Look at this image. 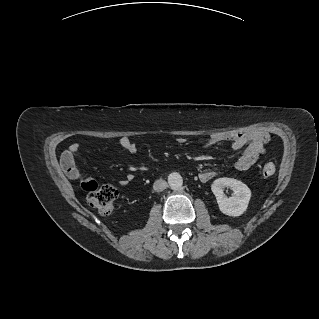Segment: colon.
I'll return each instance as SVG.
<instances>
[{"instance_id":"5ec220e1","label":"colon","mask_w":319,"mask_h":319,"mask_svg":"<svg viewBox=\"0 0 319 319\" xmlns=\"http://www.w3.org/2000/svg\"><path fill=\"white\" fill-rule=\"evenodd\" d=\"M263 175L270 177L275 173V166L267 163L263 167ZM80 185L87 192V202L94 209L98 210L103 215L112 213L115 207V201L118 197V190L113 185L98 184L91 179H82Z\"/></svg>"}]
</instances>
